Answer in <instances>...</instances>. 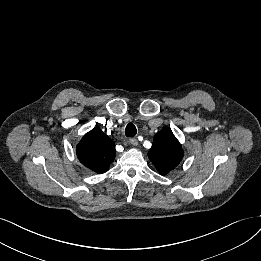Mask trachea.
I'll return each mask as SVG.
<instances>
[{"label": "trachea", "instance_id": "obj_1", "mask_svg": "<svg viewBox=\"0 0 261 261\" xmlns=\"http://www.w3.org/2000/svg\"><path fill=\"white\" fill-rule=\"evenodd\" d=\"M137 133V129L136 127L134 126V124L132 123H129L127 126H126V129H125V134L127 137H134Z\"/></svg>", "mask_w": 261, "mask_h": 261}]
</instances>
